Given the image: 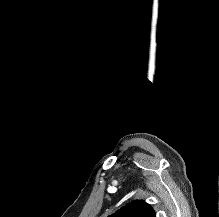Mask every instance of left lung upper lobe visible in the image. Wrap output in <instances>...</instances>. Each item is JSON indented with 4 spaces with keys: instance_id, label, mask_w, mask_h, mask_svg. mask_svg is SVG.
<instances>
[{
    "instance_id": "5c2ea615",
    "label": "left lung upper lobe",
    "mask_w": 219,
    "mask_h": 217,
    "mask_svg": "<svg viewBox=\"0 0 219 217\" xmlns=\"http://www.w3.org/2000/svg\"><path fill=\"white\" fill-rule=\"evenodd\" d=\"M109 217H156L152 207L143 200L133 201Z\"/></svg>"
}]
</instances>
